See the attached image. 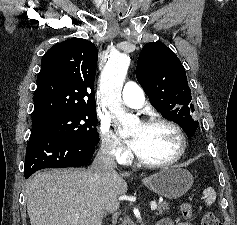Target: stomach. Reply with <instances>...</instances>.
I'll use <instances>...</instances> for the list:
<instances>
[{
    "instance_id": "0dacf381",
    "label": "stomach",
    "mask_w": 237,
    "mask_h": 225,
    "mask_svg": "<svg viewBox=\"0 0 237 225\" xmlns=\"http://www.w3.org/2000/svg\"><path fill=\"white\" fill-rule=\"evenodd\" d=\"M153 192L168 199H177L191 188V173L179 166H170L142 180Z\"/></svg>"
}]
</instances>
